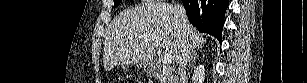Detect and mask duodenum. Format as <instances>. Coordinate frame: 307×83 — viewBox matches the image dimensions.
<instances>
[{
  "instance_id": "1",
  "label": "duodenum",
  "mask_w": 307,
  "mask_h": 83,
  "mask_svg": "<svg viewBox=\"0 0 307 83\" xmlns=\"http://www.w3.org/2000/svg\"><path fill=\"white\" fill-rule=\"evenodd\" d=\"M161 73H162V71L160 69H158V67H156V66L151 67V74L152 75H157V74H161Z\"/></svg>"
}]
</instances>
